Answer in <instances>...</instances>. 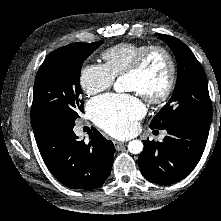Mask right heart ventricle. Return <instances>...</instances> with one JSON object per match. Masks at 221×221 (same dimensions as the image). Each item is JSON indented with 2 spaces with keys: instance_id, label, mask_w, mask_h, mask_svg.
Segmentation results:
<instances>
[{
  "instance_id": "e07e8e85",
  "label": "right heart ventricle",
  "mask_w": 221,
  "mask_h": 221,
  "mask_svg": "<svg viewBox=\"0 0 221 221\" xmlns=\"http://www.w3.org/2000/svg\"><path fill=\"white\" fill-rule=\"evenodd\" d=\"M148 45L123 42L116 44L102 52L105 68L118 78L134 63L139 53Z\"/></svg>"
}]
</instances>
